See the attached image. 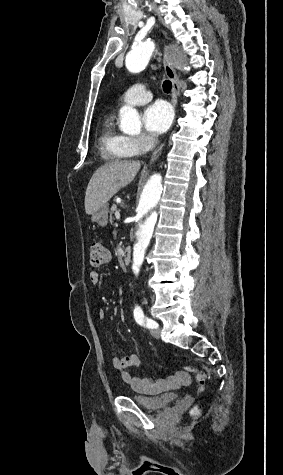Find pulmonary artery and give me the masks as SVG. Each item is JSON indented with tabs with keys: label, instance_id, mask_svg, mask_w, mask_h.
Instances as JSON below:
<instances>
[{
	"label": "pulmonary artery",
	"instance_id": "e3ab8cb5",
	"mask_svg": "<svg viewBox=\"0 0 283 475\" xmlns=\"http://www.w3.org/2000/svg\"><path fill=\"white\" fill-rule=\"evenodd\" d=\"M155 93L150 91L148 87H143L140 84H134L128 87L125 93L120 98V103L125 105H136L153 100Z\"/></svg>",
	"mask_w": 283,
	"mask_h": 475
}]
</instances>
